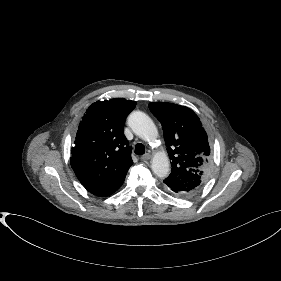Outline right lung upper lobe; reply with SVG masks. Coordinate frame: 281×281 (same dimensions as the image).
<instances>
[{
    "label": "right lung upper lobe",
    "instance_id": "right-lung-upper-lobe-1",
    "mask_svg": "<svg viewBox=\"0 0 281 281\" xmlns=\"http://www.w3.org/2000/svg\"><path fill=\"white\" fill-rule=\"evenodd\" d=\"M135 101L115 98L93 103L84 115L72 148L70 163L83 186L97 196L117 191L133 164L123 134Z\"/></svg>",
    "mask_w": 281,
    "mask_h": 281
}]
</instances>
